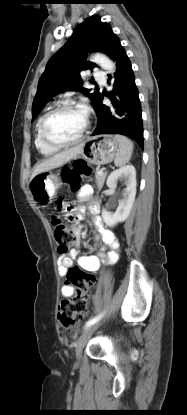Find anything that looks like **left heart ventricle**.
<instances>
[{
    "label": "left heart ventricle",
    "mask_w": 187,
    "mask_h": 415,
    "mask_svg": "<svg viewBox=\"0 0 187 415\" xmlns=\"http://www.w3.org/2000/svg\"><path fill=\"white\" fill-rule=\"evenodd\" d=\"M85 115L78 108H63L54 113L47 123V134L57 141L76 138L85 126Z\"/></svg>",
    "instance_id": "left-heart-ventricle-1"
}]
</instances>
